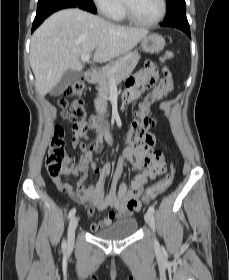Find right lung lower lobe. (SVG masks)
Masks as SVG:
<instances>
[{
  "label": "right lung lower lobe",
  "mask_w": 229,
  "mask_h": 280,
  "mask_svg": "<svg viewBox=\"0 0 229 280\" xmlns=\"http://www.w3.org/2000/svg\"><path fill=\"white\" fill-rule=\"evenodd\" d=\"M76 7L94 14L96 13V8L92 0H39L31 32H33L50 14L61 9Z\"/></svg>",
  "instance_id": "right-lung-lower-lobe-1"
}]
</instances>
